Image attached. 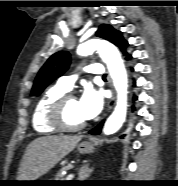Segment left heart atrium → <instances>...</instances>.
<instances>
[{
  "mask_svg": "<svg viewBox=\"0 0 178 186\" xmlns=\"http://www.w3.org/2000/svg\"><path fill=\"white\" fill-rule=\"evenodd\" d=\"M103 103L102 93L92 87H87L79 99L80 111L83 117L86 120L95 118L101 112Z\"/></svg>",
  "mask_w": 178,
  "mask_h": 186,
  "instance_id": "39dd6f15",
  "label": "left heart atrium"
}]
</instances>
